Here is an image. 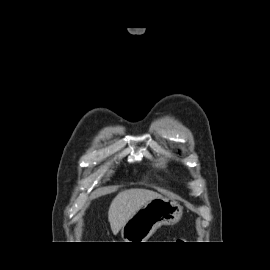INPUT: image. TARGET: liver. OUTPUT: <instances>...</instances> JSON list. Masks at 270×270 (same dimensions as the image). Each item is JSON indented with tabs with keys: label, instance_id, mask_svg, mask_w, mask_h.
I'll use <instances>...</instances> for the list:
<instances>
[{
	"label": "liver",
	"instance_id": "obj_1",
	"mask_svg": "<svg viewBox=\"0 0 270 270\" xmlns=\"http://www.w3.org/2000/svg\"><path fill=\"white\" fill-rule=\"evenodd\" d=\"M160 197L162 195L159 193L147 189H128L119 192L108 210V220L113 234L117 235L143 205Z\"/></svg>",
	"mask_w": 270,
	"mask_h": 270
}]
</instances>
